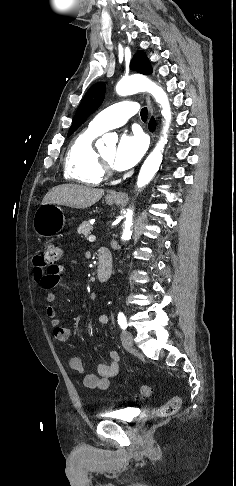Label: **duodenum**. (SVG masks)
<instances>
[{"label":"duodenum","mask_w":236,"mask_h":486,"mask_svg":"<svg viewBox=\"0 0 236 486\" xmlns=\"http://www.w3.org/2000/svg\"><path fill=\"white\" fill-rule=\"evenodd\" d=\"M112 274V257L107 248L99 250V259L96 268V275L100 282H106Z\"/></svg>","instance_id":"410a0bca"}]
</instances>
